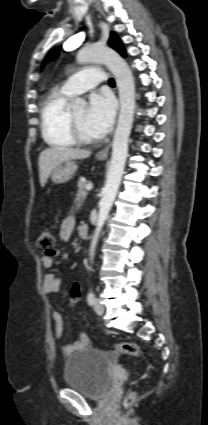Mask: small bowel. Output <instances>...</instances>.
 <instances>
[{
    "instance_id": "obj_1",
    "label": "small bowel",
    "mask_w": 208,
    "mask_h": 425,
    "mask_svg": "<svg viewBox=\"0 0 208 425\" xmlns=\"http://www.w3.org/2000/svg\"><path fill=\"white\" fill-rule=\"evenodd\" d=\"M76 226L75 220L72 217L66 218L60 229V238L62 240H69L73 230ZM55 253L45 254L41 257V261L45 268L50 269L54 264ZM61 280L53 272H48L44 276L43 280V291L47 294H56L60 291ZM52 320L55 327L56 337L60 340L63 335V318L61 314L57 311L53 312ZM89 344V337L85 334H82L78 341L71 344H63L61 349L62 352L66 355L72 353L75 349L84 347Z\"/></svg>"
}]
</instances>
